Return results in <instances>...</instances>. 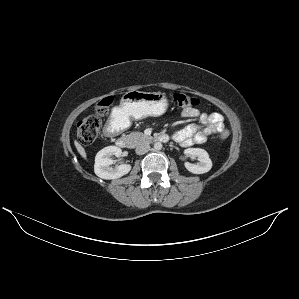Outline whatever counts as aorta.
<instances>
[{"label": "aorta", "mask_w": 299, "mask_h": 299, "mask_svg": "<svg viewBox=\"0 0 299 299\" xmlns=\"http://www.w3.org/2000/svg\"><path fill=\"white\" fill-rule=\"evenodd\" d=\"M154 149H155L156 151L161 150V149H162V143H161V142H155V143H154Z\"/></svg>", "instance_id": "1"}]
</instances>
